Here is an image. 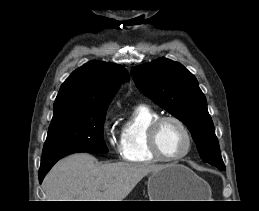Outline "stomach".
Instances as JSON below:
<instances>
[{"instance_id": "obj_1", "label": "stomach", "mask_w": 259, "mask_h": 211, "mask_svg": "<svg viewBox=\"0 0 259 211\" xmlns=\"http://www.w3.org/2000/svg\"><path fill=\"white\" fill-rule=\"evenodd\" d=\"M209 192L208 184L181 164L165 165L148 178L150 201H203Z\"/></svg>"}]
</instances>
